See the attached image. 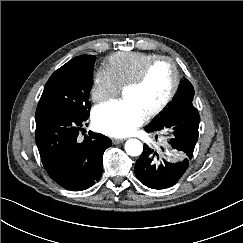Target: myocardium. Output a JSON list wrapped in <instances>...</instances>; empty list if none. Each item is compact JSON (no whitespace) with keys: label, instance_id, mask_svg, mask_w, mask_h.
Listing matches in <instances>:
<instances>
[{"label":"myocardium","instance_id":"f54148a6","mask_svg":"<svg viewBox=\"0 0 243 243\" xmlns=\"http://www.w3.org/2000/svg\"><path fill=\"white\" fill-rule=\"evenodd\" d=\"M163 61L170 63L173 68V71H174L173 84H172L171 90H170L168 96L165 98V100L156 109H154L153 111H151L150 113L145 115L146 120L153 119V118L157 117L158 115H160L162 112H164L166 110V108L174 100V98L178 92L179 85H180V71H179L177 63L168 56H157L154 59H152L151 61H149L142 68L140 73L132 81H130L129 83H127L124 86V90L139 88L145 82V80H146L150 70L153 68V66L156 65L157 63L163 62Z\"/></svg>","mask_w":243,"mask_h":243}]
</instances>
